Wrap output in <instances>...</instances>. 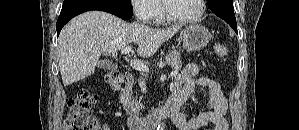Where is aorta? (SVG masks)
<instances>
[{
	"instance_id": "aorta-1",
	"label": "aorta",
	"mask_w": 299,
	"mask_h": 130,
	"mask_svg": "<svg viewBox=\"0 0 299 130\" xmlns=\"http://www.w3.org/2000/svg\"><path fill=\"white\" fill-rule=\"evenodd\" d=\"M163 129H164L163 124H158L157 130H163Z\"/></svg>"
}]
</instances>
